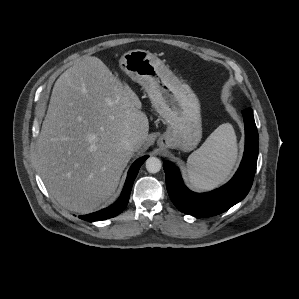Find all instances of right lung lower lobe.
I'll return each mask as SVG.
<instances>
[{"label": "right lung lower lobe", "mask_w": 299, "mask_h": 299, "mask_svg": "<svg viewBox=\"0 0 299 299\" xmlns=\"http://www.w3.org/2000/svg\"><path fill=\"white\" fill-rule=\"evenodd\" d=\"M148 157H149L148 155L143 156V157L137 159L133 163V165L131 166V168L128 172V176H127L123 191H122L119 199L113 205H111L110 207L105 208L103 210H100L98 212L92 213V214L79 216V218L92 222V221H100V220L112 218V217L118 215L119 213H121L129 201L132 185H133V182L138 174L139 168L141 167V165L145 162V160Z\"/></svg>", "instance_id": "1"}]
</instances>
